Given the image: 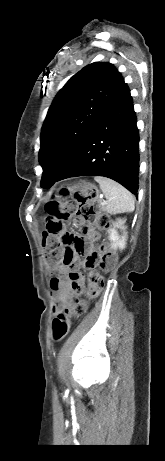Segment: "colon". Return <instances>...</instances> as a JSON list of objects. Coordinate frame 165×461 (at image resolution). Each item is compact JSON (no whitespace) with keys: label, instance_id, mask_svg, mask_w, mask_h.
I'll list each match as a JSON object with an SVG mask.
<instances>
[{"label":"colon","instance_id":"5ec220e1","mask_svg":"<svg viewBox=\"0 0 165 461\" xmlns=\"http://www.w3.org/2000/svg\"><path fill=\"white\" fill-rule=\"evenodd\" d=\"M72 196V198H70ZM97 189L88 183H82L72 188L62 189L58 196L46 204L48 217L45 220L43 231V246L46 251L44 254L45 264L51 269L60 263L61 251H73L60 247L61 231L71 213L85 222L94 223L102 230L111 227V219L106 214L98 212L95 205ZM116 256L110 249L102 248L100 251L89 255L86 258V267H100L104 270L113 268ZM104 288V279L98 272L89 274L88 287L85 298L77 299L71 309L73 318L82 316L87 307L86 300H91L99 296ZM70 328V322L66 315L59 314L53 321L52 336L55 341L64 339Z\"/></svg>","mask_w":165,"mask_h":461}]
</instances>
